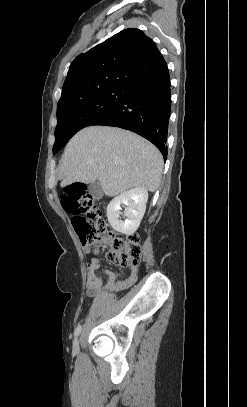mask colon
I'll list each match as a JSON object with an SVG mask.
<instances>
[{"label":"colon","mask_w":247,"mask_h":407,"mask_svg":"<svg viewBox=\"0 0 247 407\" xmlns=\"http://www.w3.org/2000/svg\"><path fill=\"white\" fill-rule=\"evenodd\" d=\"M61 204L67 213L73 215L72 225L84 250L92 251L99 244L106 243V257L110 263L119 267L139 264L142 249L138 234L123 239L108 232L99 202L85 186H69L62 196Z\"/></svg>","instance_id":"5ec220e1"}]
</instances>
